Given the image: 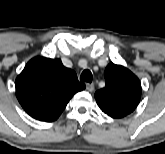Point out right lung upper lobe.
<instances>
[{
  "label": "right lung upper lobe",
  "mask_w": 165,
  "mask_h": 154,
  "mask_svg": "<svg viewBox=\"0 0 165 154\" xmlns=\"http://www.w3.org/2000/svg\"><path fill=\"white\" fill-rule=\"evenodd\" d=\"M16 96L33 118L50 121L58 117L74 94L85 89L76 73L63 66L60 59L35 57L18 75Z\"/></svg>",
  "instance_id": "right-lung-upper-lobe-1"
}]
</instances>
